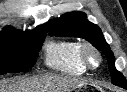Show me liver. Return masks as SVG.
I'll return each instance as SVG.
<instances>
[{
    "mask_svg": "<svg viewBox=\"0 0 127 92\" xmlns=\"http://www.w3.org/2000/svg\"><path fill=\"white\" fill-rule=\"evenodd\" d=\"M86 84V80L76 77L46 74L0 85V92H71Z\"/></svg>",
    "mask_w": 127,
    "mask_h": 92,
    "instance_id": "obj_1",
    "label": "liver"
}]
</instances>
